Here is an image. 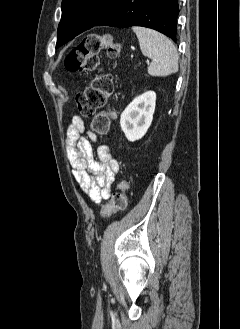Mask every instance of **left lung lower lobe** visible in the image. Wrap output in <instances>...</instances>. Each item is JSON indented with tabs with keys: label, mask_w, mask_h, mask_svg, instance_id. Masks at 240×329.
Segmentation results:
<instances>
[{
	"label": "left lung lower lobe",
	"mask_w": 240,
	"mask_h": 329,
	"mask_svg": "<svg viewBox=\"0 0 240 329\" xmlns=\"http://www.w3.org/2000/svg\"><path fill=\"white\" fill-rule=\"evenodd\" d=\"M178 14V0H119L95 26H143L176 42Z\"/></svg>",
	"instance_id": "obj_1"
}]
</instances>
